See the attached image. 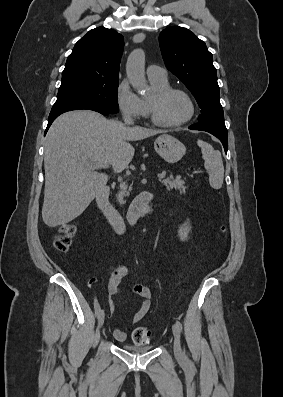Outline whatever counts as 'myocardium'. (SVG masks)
<instances>
[{
  "label": "myocardium",
  "instance_id": "obj_1",
  "mask_svg": "<svg viewBox=\"0 0 283 397\" xmlns=\"http://www.w3.org/2000/svg\"><path fill=\"white\" fill-rule=\"evenodd\" d=\"M173 93H180L184 95L191 106V111L190 114L183 120L178 121V122H165L161 119L160 114H159V109L162 104V102L171 94ZM196 112V104L192 96L185 91L184 89L177 88V87H167L164 88L160 91H157L153 94V96L149 100V113H150V118L152 122L162 128H177L180 126H183L187 124L189 121L192 120Z\"/></svg>",
  "mask_w": 283,
  "mask_h": 397
}]
</instances>
